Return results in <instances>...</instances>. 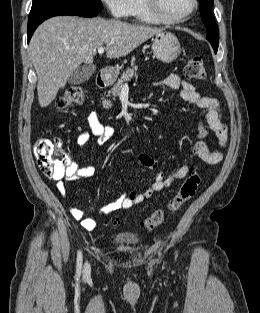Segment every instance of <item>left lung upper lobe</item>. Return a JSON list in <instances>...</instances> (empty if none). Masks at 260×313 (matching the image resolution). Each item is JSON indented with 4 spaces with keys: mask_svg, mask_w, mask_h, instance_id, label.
Returning <instances> with one entry per match:
<instances>
[{
    "mask_svg": "<svg viewBox=\"0 0 260 313\" xmlns=\"http://www.w3.org/2000/svg\"><path fill=\"white\" fill-rule=\"evenodd\" d=\"M201 4L200 13L207 29V40L212 45L215 53L218 50V29L212 16L213 0H199Z\"/></svg>",
    "mask_w": 260,
    "mask_h": 313,
    "instance_id": "obj_1",
    "label": "left lung upper lobe"
}]
</instances>
